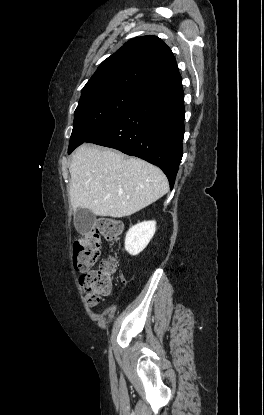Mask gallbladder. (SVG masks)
<instances>
[{
  "label": "gallbladder",
  "instance_id": "obj_1",
  "mask_svg": "<svg viewBox=\"0 0 264 415\" xmlns=\"http://www.w3.org/2000/svg\"><path fill=\"white\" fill-rule=\"evenodd\" d=\"M95 219V215L90 210L79 208L74 218L77 231L82 235L87 234L91 230Z\"/></svg>",
  "mask_w": 264,
  "mask_h": 415
}]
</instances>
